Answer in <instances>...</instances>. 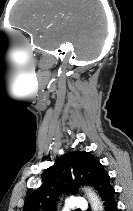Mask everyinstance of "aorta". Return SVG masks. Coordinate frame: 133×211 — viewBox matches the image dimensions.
Returning <instances> with one entry per match:
<instances>
[{
	"instance_id": "1",
	"label": "aorta",
	"mask_w": 133,
	"mask_h": 211,
	"mask_svg": "<svg viewBox=\"0 0 133 211\" xmlns=\"http://www.w3.org/2000/svg\"><path fill=\"white\" fill-rule=\"evenodd\" d=\"M92 211H103L104 207L99 196L91 189H85Z\"/></svg>"
}]
</instances>
